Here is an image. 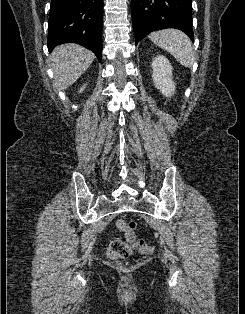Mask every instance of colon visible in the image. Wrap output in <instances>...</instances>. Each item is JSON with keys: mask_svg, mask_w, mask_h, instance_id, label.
I'll return each instance as SVG.
<instances>
[{"mask_svg": "<svg viewBox=\"0 0 245 314\" xmlns=\"http://www.w3.org/2000/svg\"><path fill=\"white\" fill-rule=\"evenodd\" d=\"M118 230L125 233L127 241L120 239L112 240L108 246V254L114 260L127 259L132 255V249L143 254H151L153 248L145 241L139 240L135 234L136 224L133 221L119 219L116 223Z\"/></svg>", "mask_w": 245, "mask_h": 314, "instance_id": "obj_1", "label": "colon"}]
</instances>
